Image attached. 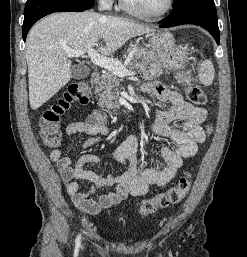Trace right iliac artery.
I'll return each mask as SVG.
<instances>
[{
  "label": "right iliac artery",
  "mask_w": 247,
  "mask_h": 257,
  "mask_svg": "<svg viewBox=\"0 0 247 257\" xmlns=\"http://www.w3.org/2000/svg\"><path fill=\"white\" fill-rule=\"evenodd\" d=\"M80 240H81V235H78L75 239V257L78 254L79 247H80Z\"/></svg>",
  "instance_id": "right-iliac-artery-1"
}]
</instances>
